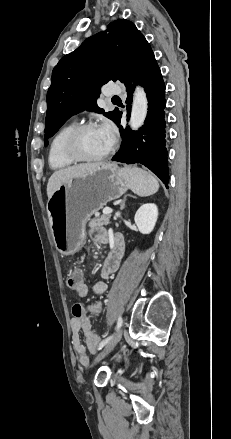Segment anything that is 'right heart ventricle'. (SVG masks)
<instances>
[{"mask_svg": "<svg viewBox=\"0 0 231 439\" xmlns=\"http://www.w3.org/2000/svg\"><path fill=\"white\" fill-rule=\"evenodd\" d=\"M74 126V122L64 125L52 138L48 149V165L52 170H63L74 164L63 152V140Z\"/></svg>", "mask_w": 231, "mask_h": 439, "instance_id": "1", "label": "right heart ventricle"}]
</instances>
